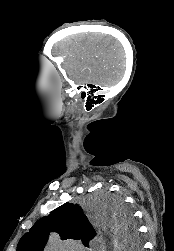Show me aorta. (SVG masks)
I'll use <instances>...</instances> for the list:
<instances>
[{
	"mask_svg": "<svg viewBox=\"0 0 174 251\" xmlns=\"http://www.w3.org/2000/svg\"><path fill=\"white\" fill-rule=\"evenodd\" d=\"M108 225H109V230L112 234V237L114 238V240L116 242L117 250H123V248H129L124 245L123 241H121L122 239L120 237V234L118 233L117 224L115 223V221L110 220L108 222ZM50 243H51V246H53V247L59 246V241H58L57 236H53L51 238ZM64 250H67V249H64Z\"/></svg>",
	"mask_w": 174,
	"mask_h": 251,
	"instance_id": "obj_1",
	"label": "aorta"
}]
</instances>
